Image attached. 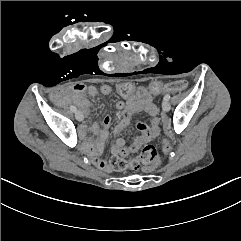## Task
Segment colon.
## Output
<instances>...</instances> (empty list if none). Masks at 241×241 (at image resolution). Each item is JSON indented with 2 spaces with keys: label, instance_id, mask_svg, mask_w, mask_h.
<instances>
[{
  "label": "colon",
  "instance_id": "colon-1",
  "mask_svg": "<svg viewBox=\"0 0 241 241\" xmlns=\"http://www.w3.org/2000/svg\"><path fill=\"white\" fill-rule=\"evenodd\" d=\"M187 87V82L184 79H179L174 82H166L163 85V88L166 93L178 94L184 91ZM115 91L117 93H123L125 98H130L134 91V86L131 84L130 80H123L122 84H117L115 86ZM149 91L153 94H156L160 91V84L158 82H151L149 84ZM163 149L166 152L171 151L172 145L169 142L164 143ZM160 155L157 149L151 145L147 144L143 146L139 154L132 159L124 160L118 157H112L109 163L114 169L122 170L126 168L137 169L141 165H144L143 170L147 175L148 173L155 171L158 166H162L164 163L160 161Z\"/></svg>",
  "mask_w": 241,
  "mask_h": 241
}]
</instances>
